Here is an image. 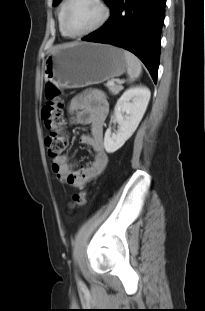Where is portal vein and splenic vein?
<instances>
[{"mask_svg": "<svg viewBox=\"0 0 205 311\" xmlns=\"http://www.w3.org/2000/svg\"><path fill=\"white\" fill-rule=\"evenodd\" d=\"M114 84H115L114 81L109 82V85H114Z\"/></svg>", "mask_w": 205, "mask_h": 311, "instance_id": "obj_1", "label": "portal vein and splenic vein"}]
</instances>
